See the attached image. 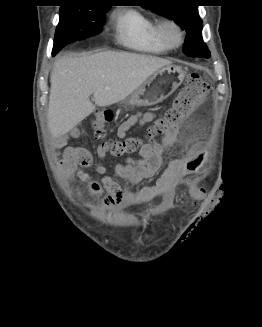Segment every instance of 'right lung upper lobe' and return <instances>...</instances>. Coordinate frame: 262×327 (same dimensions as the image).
<instances>
[{
    "label": "right lung upper lobe",
    "mask_w": 262,
    "mask_h": 327,
    "mask_svg": "<svg viewBox=\"0 0 262 327\" xmlns=\"http://www.w3.org/2000/svg\"><path fill=\"white\" fill-rule=\"evenodd\" d=\"M65 3H92L97 5H102L100 3H103L102 0H63ZM103 6V5H102Z\"/></svg>",
    "instance_id": "right-lung-upper-lobe-1"
}]
</instances>
